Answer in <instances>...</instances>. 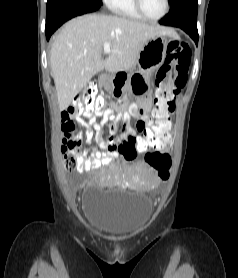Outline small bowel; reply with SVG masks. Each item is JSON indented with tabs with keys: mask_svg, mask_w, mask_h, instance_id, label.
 Returning <instances> with one entry per match:
<instances>
[{
	"mask_svg": "<svg viewBox=\"0 0 238 278\" xmlns=\"http://www.w3.org/2000/svg\"><path fill=\"white\" fill-rule=\"evenodd\" d=\"M145 97L149 98L150 94L146 93ZM148 107L149 105L145 100H142L139 104H132V101L128 100L117 112L113 109H103L95 112H73L71 109H68L62 112V125L67 121H72L73 123L75 121L79 126L86 128V141L88 143L94 141L98 145V149L92 150L90 156H87L86 153H82L78 158V169L88 172L98 169L101 166L109 165L113 162L117 154L124 156L123 152L120 150L122 147L120 146V141H129V144H133V142H130V137H146L152 125V121L147 114ZM82 115L89 118L88 123L85 122ZM132 117L137 118L136 130L129 126V121ZM98 118H101V121H98ZM117 121H122V135L120 136H115L117 131L115 123ZM105 125H109L110 127L111 137L109 140L104 138ZM64 134L65 139H67V134L65 132ZM73 139L80 142L82 136L80 134H75ZM170 139V134L163 137V141L166 142L170 141ZM108 142H111V145H108ZM144 182L147 186H153L157 183V178L149 171L144 177Z\"/></svg>",
	"mask_w": 238,
	"mask_h": 278,
	"instance_id": "1",
	"label": "small bowel"
}]
</instances>
